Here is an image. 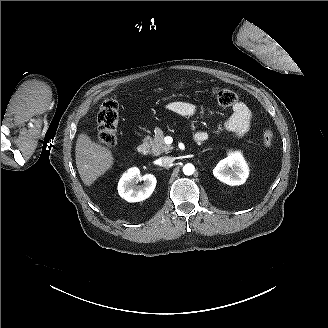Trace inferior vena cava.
<instances>
[{
	"label": "inferior vena cava",
	"instance_id": "602c4592",
	"mask_svg": "<svg viewBox=\"0 0 328 328\" xmlns=\"http://www.w3.org/2000/svg\"><path fill=\"white\" fill-rule=\"evenodd\" d=\"M159 161H160L159 165L161 167H167L173 163V158L171 156H163L159 158Z\"/></svg>",
	"mask_w": 328,
	"mask_h": 328
}]
</instances>
